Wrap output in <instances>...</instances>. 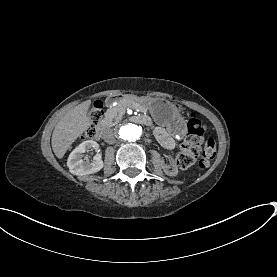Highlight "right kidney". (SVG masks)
I'll return each mask as SVG.
<instances>
[{"label": "right kidney", "instance_id": "1", "mask_svg": "<svg viewBox=\"0 0 277 277\" xmlns=\"http://www.w3.org/2000/svg\"><path fill=\"white\" fill-rule=\"evenodd\" d=\"M90 149H95L97 154L89 160L84 153ZM84 157V159H83ZM67 166L70 173L74 175H87L100 171L104 164L102 155L99 153V144L93 140H87L78 145L69 155Z\"/></svg>", "mask_w": 277, "mask_h": 277}]
</instances>
